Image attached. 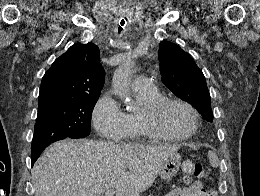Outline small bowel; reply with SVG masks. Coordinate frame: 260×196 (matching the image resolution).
Listing matches in <instances>:
<instances>
[{
	"mask_svg": "<svg viewBox=\"0 0 260 196\" xmlns=\"http://www.w3.org/2000/svg\"><path fill=\"white\" fill-rule=\"evenodd\" d=\"M167 196H209V191L201 181L196 180L185 187H175Z\"/></svg>",
	"mask_w": 260,
	"mask_h": 196,
	"instance_id": "c3829d8e",
	"label": "small bowel"
}]
</instances>
